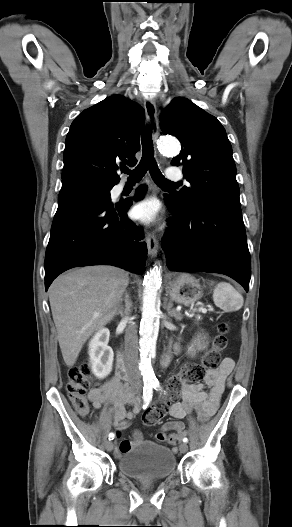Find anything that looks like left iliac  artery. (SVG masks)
I'll return each mask as SVG.
<instances>
[{
    "label": "left iliac artery",
    "mask_w": 292,
    "mask_h": 527,
    "mask_svg": "<svg viewBox=\"0 0 292 527\" xmlns=\"http://www.w3.org/2000/svg\"><path fill=\"white\" fill-rule=\"evenodd\" d=\"M152 385H153L154 389H156V390H161V386H160V384H159L158 381L153 382ZM183 442H184V443H187V442H188V439H187L186 437H184V438H183Z\"/></svg>",
    "instance_id": "left-iliac-artery-1"
}]
</instances>
